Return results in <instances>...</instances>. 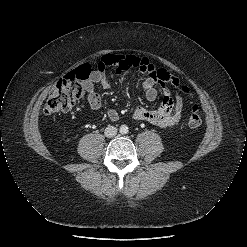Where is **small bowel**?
<instances>
[{"label":"small bowel","mask_w":247,"mask_h":247,"mask_svg":"<svg viewBox=\"0 0 247 247\" xmlns=\"http://www.w3.org/2000/svg\"><path fill=\"white\" fill-rule=\"evenodd\" d=\"M108 67L116 68L118 74L130 68H137L146 74L143 90L148 101L157 99V85L164 87V97L161 105L156 109L137 107L133 112L134 119L146 121L162 128H172L179 123L184 108L179 79L163 68H156L147 57L137 55L106 54L101 58L97 69L90 73L84 84L85 90L88 92V105L91 109L97 110L101 107V97L96 92L95 86L99 85L103 89L110 88V83L105 74V70ZM167 84L175 88V99L170 97L168 90L165 88ZM107 117L112 121H116L119 118V113L116 109L110 108L107 111Z\"/></svg>","instance_id":"1"}]
</instances>
